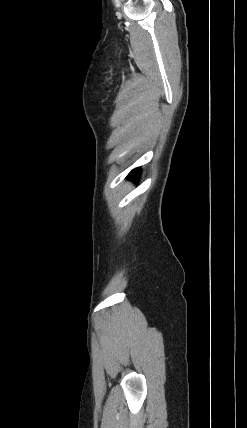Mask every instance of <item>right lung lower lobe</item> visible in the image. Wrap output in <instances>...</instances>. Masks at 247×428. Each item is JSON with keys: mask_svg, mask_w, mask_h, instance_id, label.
Listing matches in <instances>:
<instances>
[{"mask_svg": "<svg viewBox=\"0 0 247 428\" xmlns=\"http://www.w3.org/2000/svg\"><path fill=\"white\" fill-rule=\"evenodd\" d=\"M139 174H140V169L136 168L128 175V178L132 180H137L139 177Z\"/></svg>", "mask_w": 247, "mask_h": 428, "instance_id": "right-lung-lower-lobe-1", "label": "right lung lower lobe"}]
</instances>
